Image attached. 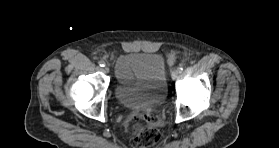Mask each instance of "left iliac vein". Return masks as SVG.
Instances as JSON below:
<instances>
[{
    "instance_id": "4c4485c4",
    "label": "left iliac vein",
    "mask_w": 279,
    "mask_h": 148,
    "mask_svg": "<svg viewBox=\"0 0 279 148\" xmlns=\"http://www.w3.org/2000/svg\"><path fill=\"white\" fill-rule=\"evenodd\" d=\"M179 76V70L176 69V70H173L172 73H171V77L172 79H177V77Z\"/></svg>"
}]
</instances>
